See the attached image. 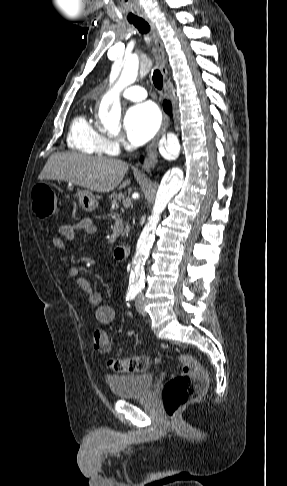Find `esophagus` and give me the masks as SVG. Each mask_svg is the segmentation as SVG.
Listing matches in <instances>:
<instances>
[{"mask_svg": "<svg viewBox=\"0 0 287 486\" xmlns=\"http://www.w3.org/2000/svg\"><path fill=\"white\" fill-rule=\"evenodd\" d=\"M145 20L150 24V26L152 27V30L154 32V54H155L156 59L159 63L161 72H162L164 78H166L167 74H168L167 66H166L167 57H166L163 41L160 37V34L157 30L156 25L147 17H145ZM165 95L167 96V89L166 88H165ZM169 125H170L169 116L164 115V119H163V122H162V125L160 127L159 132L157 133L155 138L152 140V142L147 147V154H146L144 166H143L144 169L153 168L154 165L156 164L157 159H158L157 144H158L160 137L165 134Z\"/></svg>", "mask_w": 287, "mask_h": 486, "instance_id": "esophagus-1", "label": "esophagus"}]
</instances>
